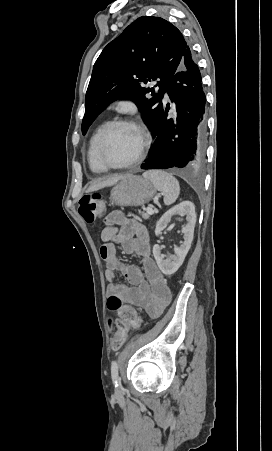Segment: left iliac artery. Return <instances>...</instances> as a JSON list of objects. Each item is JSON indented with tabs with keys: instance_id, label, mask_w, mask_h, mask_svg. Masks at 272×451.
<instances>
[{
	"instance_id": "obj_1",
	"label": "left iliac artery",
	"mask_w": 272,
	"mask_h": 451,
	"mask_svg": "<svg viewBox=\"0 0 272 451\" xmlns=\"http://www.w3.org/2000/svg\"><path fill=\"white\" fill-rule=\"evenodd\" d=\"M111 376L112 381L115 385V387H118L119 385V375H118V363L117 361H113L111 364Z\"/></svg>"
}]
</instances>
